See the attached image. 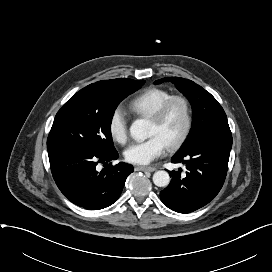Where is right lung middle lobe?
<instances>
[{
    "mask_svg": "<svg viewBox=\"0 0 272 272\" xmlns=\"http://www.w3.org/2000/svg\"><path fill=\"white\" fill-rule=\"evenodd\" d=\"M144 80L115 79L94 83L75 93L58 111L47 139L49 159L70 151L115 150L111 122L118 104Z\"/></svg>",
    "mask_w": 272,
    "mask_h": 272,
    "instance_id": "right-lung-middle-lobe-1",
    "label": "right lung middle lobe"
}]
</instances>
